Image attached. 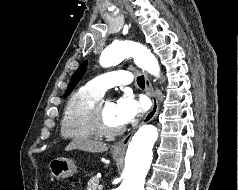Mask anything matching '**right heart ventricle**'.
I'll use <instances>...</instances> for the list:
<instances>
[{
	"mask_svg": "<svg viewBox=\"0 0 238 190\" xmlns=\"http://www.w3.org/2000/svg\"><path fill=\"white\" fill-rule=\"evenodd\" d=\"M103 94L87 85L79 88L69 98L61 120V133L66 138L89 140L99 137L91 116L95 104Z\"/></svg>",
	"mask_w": 238,
	"mask_h": 190,
	"instance_id": "e07e8e85",
	"label": "right heart ventricle"
}]
</instances>
